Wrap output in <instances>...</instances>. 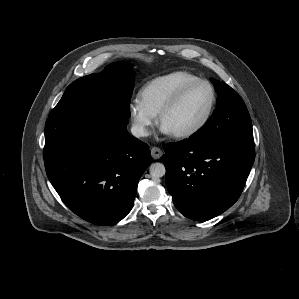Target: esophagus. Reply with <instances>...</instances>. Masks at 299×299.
<instances>
[{"instance_id": "34e87169", "label": "esophagus", "mask_w": 299, "mask_h": 299, "mask_svg": "<svg viewBox=\"0 0 299 299\" xmlns=\"http://www.w3.org/2000/svg\"><path fill=\"white\" fill-rule=\"evenodd\" d=\"M151 155L153 159H159L162 156V150L158 147L151 148Z\"/></svg>"}]
</instances>
